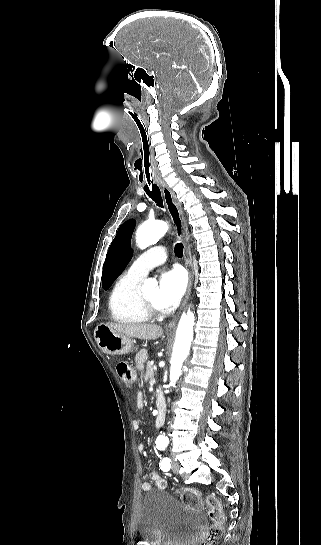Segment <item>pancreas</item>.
I'll return each mask as SVG.
<instances>
[{"label":"pancreas","instance_id":"1","mask_svg":"<svg viewBox=\"0 0 321 545\" xmlns=\"http://www.w3.org/2000/svg\"><path fill=\"white\" fill-rule=\"evenodd\" d=\"M154 367L153 361H148L146 363V375L144 377L145 381H151V379H154Z\"/></svg>","mask_w":321,"mask_h":545}]
</instances>
